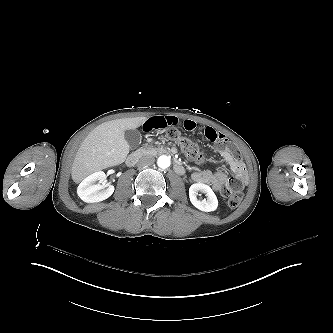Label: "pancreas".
<instances>
[{
  "mask_svg": "<svg viewBox=\"0 0 333 333\" xmlns=\"http://www.w3.org/2000/svg\"><path fill=\"white\" fill-rule=\"evenodd\" d=\"M169 148L160 146V147H155L153 145L145 144L144 147L142 148V153L144 155H149V156H157L163 153H168Z\"/></svg>",
  "mask_w": 333,
  "mask_h": 333,
  "instance_id": "cf45deb5",
  "label": "pancreas"
}]
</instances>
